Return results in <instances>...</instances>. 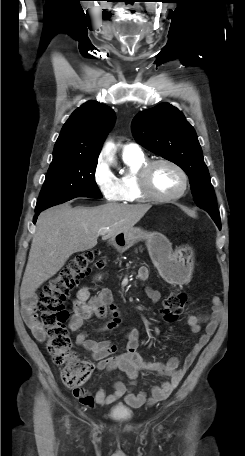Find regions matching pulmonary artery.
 <instances>
[{"instance_id":"obj_1","label":"pulmonary artery","mask_w":245,"mask_h":456,"mask_svg":"<svg viewBox=\"0 0 245 456\" xmlns=\"http://www.w3.org/2000/svg\"><path fill=\"white\" fill-rule=\"evenodd\" d=\"M122 151L124 154H140L142 153L140 147L135 143H127L123 145Z\"/></svg>"}]
</instances>
